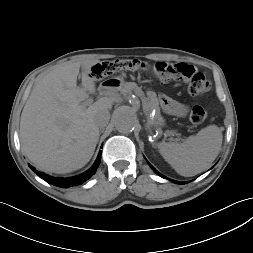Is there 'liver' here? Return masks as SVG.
<instances>
[{
    "label": "liver",
    "mask_w": 253,
    "mask_h": 253,
    "mask_svg": "<svg viewBox=\"0 0 253 253\" xmlns=\"http://www.w3.org/2000/svg\"><path fill=\"white\" fill-rule=\"evenodd\" d=\"M97 59L67 62L44 75L33 88L20 120V141L28 159L42 170L68 173L85 166L99 139L95 116L112 107L102 97L84 107L87 91L95 92L88 76ZM82 68V87L77 76Z\"/></svg>",
    "instance_id": "6515ba94"
}]
</instances>
